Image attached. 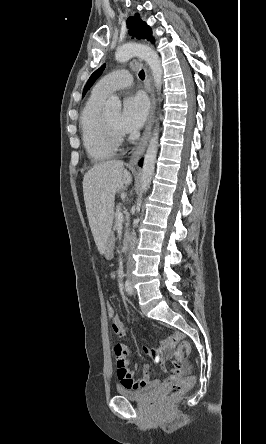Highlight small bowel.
<instances>
[{"label": "small bowel", "mask_w": 266, "mask_h": 444, "mask_svg": "<svg viewBox=\"0 0 266 444\" xmlns=\"http://www.w3.org/2000/svg\"><path fill=\"white\" fill-rule=\"evenodd\" d=\"M112 331L118 337H124L126 335V329L119 317L117 315L111 320ZM179 334L175 333L172 336L162 340L160 345L156 348L143 347V353L145 356L152 358L156 362H164L170 359L172 356V348L175 342L178 340ZM117 367H118V378L120 380L121 387L128 389H140L148 385H158V384H170L179 379L183 373V368L175 363L169 378L165 381L161 380H151L147 365L143 364L140 368L142 371V377L139 379L134 378V372L128 368V362L126 359L127 349L123 345H116L114 348Z\"/></svg>", "instance_id": "obj_1"}]
</instances>
